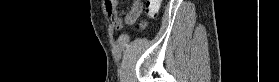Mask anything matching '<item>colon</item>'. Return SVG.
<instances>
[{"label":"colon","instance_id":"1","mask_svg":"<svg viewBox=\"0 0 279 82\" xmlns=\"http://www.w3.org/2000/svg\"><path fill=\"white\" fill-rule=\"evenodd\" d=\"M161 0H147L146 1V9H147V14L148 16L151 18L155 15V13L157 12L160 4H161ZM140 4V10H141V1H139ZM136 11H139V9H136ZM146 26V22L142 21L139 24V28L143 29Z\"/></svg>","mask_w":279,"mask_h":82}]
</instances>
